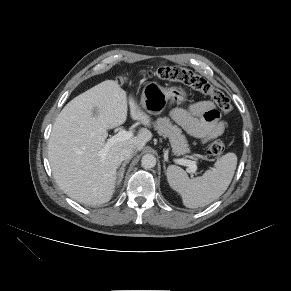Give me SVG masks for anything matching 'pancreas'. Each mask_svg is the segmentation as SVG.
<instances>
[{
  "mask_svg": "<svg viewBox=\"0 0 291 291\" xmlns=\"http://www.w3.org/2000/svg\"><path fill=\"white\" fill-rule=\"evenodd\" d=\"M155 129L161 136L169 139L175 155L179 156L189 152L186 137L182 134L180 128L172 125L168 118H159L156 121Z\"/></svg>",
  "mask_w": 291,
  "mask_h": 291,
  "instance_id": "obj_1",
  "label": "pancreas"
}]
</instances>
